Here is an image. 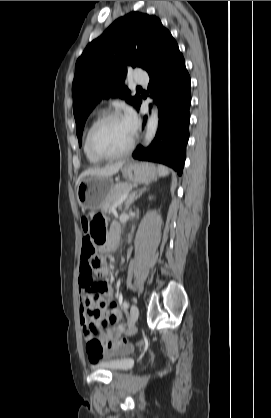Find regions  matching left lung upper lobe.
Here are the masks:
<instances>
[{
  "mask_svg": "<svg viewBox=\"0 0 271 418\" xmlns=\"http://www.w3.org/2000/svg\"><path fill=\"white\" fill-rule=\"evenodd\" d=\"M170 37L156 16L131 12L115 20L88 44L76 62L72 85L79 145L85 121L103 96L114 92L138 107L140 96H130L128 88L119 85L129 67H141L147 72L154 67Z\"/></svg>",
  "mask_w": 271,
  "mask_h": 418,
  "instance_id": "left-lung-upper-lobe-1",
  "label": "left lung upper lobe"
}]
</instances>
